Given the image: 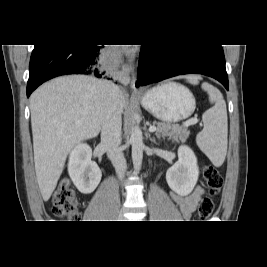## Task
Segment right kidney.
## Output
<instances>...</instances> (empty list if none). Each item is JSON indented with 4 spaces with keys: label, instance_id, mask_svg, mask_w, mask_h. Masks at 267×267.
Segmentation results:
<instances>
[{
    "label": "right kidney",
    "instance_id": "1",
    "mask_svg": "<svg viewBox=\"0 0 267 267\" xmlns=\"http://www.w3.org/2000/svg\"><path fill=\"white\" fill-rule=\"evenodd\" d=\"M91 158L92 149L87 144H78L69 156V176L76 188L83 194L92 193L102 177L100 168Z\"/></svg>",
    "mask_w": 267,
    "mask_h": 267
}]
</instances>
